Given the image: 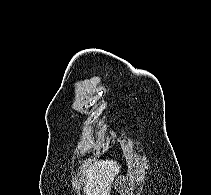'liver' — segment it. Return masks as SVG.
I'll return each instance as SVG.
<instances>
[{
    "mask_svg": "<svg viewBox=\"0 0 211 195\" xmlns=\"http://www.w3.org/2000/svg\"><path fill=\"white\" fill-rule=\"evenodd\" d=\"M120 172V166L113 160L94 161L85 170L84 192L86 195H110L113 180Z\"/></svg>",
    "mask_w": 211,
    "mask_h": 195,
    "instance_id": "liver-1",
    "label": "liver"
}]
</instances>
